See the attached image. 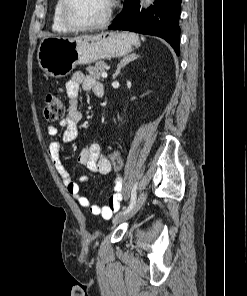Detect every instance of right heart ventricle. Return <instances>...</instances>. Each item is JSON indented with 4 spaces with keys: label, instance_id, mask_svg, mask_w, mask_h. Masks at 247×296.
Returning a JSON list of instances; mask_svg holds the SVG:
<instances>
[{
    "label": "right heart ventricle",
    "instance_id": "obj_1",
    "mask_svg": "<svg viewBox=\"0 0 247 296\" xmlns=\"http://www.w3.org/2000/svg\"><path fill=\"white\" fill-rule=\"evenodd\" d=\"M63 0H56L53 12H52V30L57 33L66 34L70 33L71 30L68 29L61 18V7H62Z\"/></svg>",
    "mask_w": 247,
    "mask_h": 296
}]
</instances>
